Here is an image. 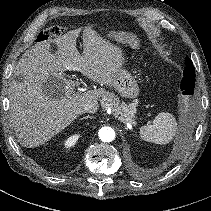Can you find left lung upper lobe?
<instances>
[{
    "instance_id": "left-lung-upper-lobe-1",
    "label": "left lung upper lobe",
    "mask_w": 211,
    "mask_h": 211,
    "mask_svg": "<svg viewBox=\"0 0 211 211\" xmlns=\"http://www.w3.org/2000/svg\"><path fill=\"white\" fill-rule=\"evenodd\" d=\"M186 67L184 70V77L181 83V90L185 95H192L194 93L195 83V68L189 57H186Z\"/></svg>"
}]
</instances>
